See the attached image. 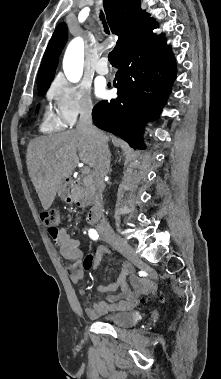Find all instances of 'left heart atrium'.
<instances>
[{
	"label": "left heart atrium",
	"mask_w": 221,
	"mask_h": 379,
	"mask_svg": "<svg viewBox=\"0 0 221 379\" xmlns=\"http://www.w3.org/2000/svg\"><path fill=\"white\" fill-rule=\"evenodd\" d=\"M96 94H97V96H99V97H104L105 94H106L105 87H104L103 85H101V84H98V85L96 86Z\"/></svg>",
	"instance_id": "1"
}]
</instances>
